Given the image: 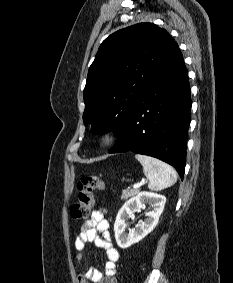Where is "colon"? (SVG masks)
<instances>
[{"label": "colon", "mask_w": 233, "mask_h": 283, "mask_svg": "<svg viewBox=\"0 0 233 283\" xmlns=\"http://www.w3.org/2000/svg\"><path fill=\"white\" fill-rule=\"evenodd\" d=\"M104 182L97 176L84 175L77 183L78 200L70 208V215L73 219L87 217L94 205V192L103 190Z\"/></svg>", "instance_id": "obj_1"}]
</instances>
